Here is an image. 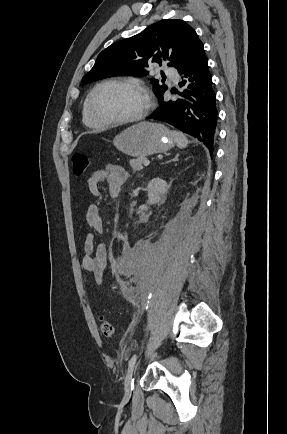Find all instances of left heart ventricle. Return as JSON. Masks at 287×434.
Here are the masks:
<instances>
[{
	"label": "left heart ventricle",
	"instance_id": "1",
	"mask_svg": "<svg viewBox=\"0 0 287 434\" xmlns=\"http://www.w3.org/2000/svg\"><path fill=\"white\" fill-rule=\"evenodd\" d=\"M145 105L146 99L139 90L119 84L100 88L93 98L95 113L104 119H124L137 115Z\"/></svg>",
	"mask_w": 287,
	"mask_h": 434
}]
</instances>
